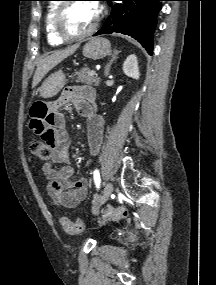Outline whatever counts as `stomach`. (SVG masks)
Segmentation results:
<instances>
[{
  "instance_id": "obj_1",
  "label": "stomach",
  "mask_w": 216,
  "mask_h": 285,
  "mask_svg": "<svg viewBox=\"0 0 216 285\" xmlns=\"http://www.w3.org/2000/svg\"><path fill=\"white\" fill-rule=\"evenodd\" d=\"M111 52V44L105 38L90 39L83 48V55L89 59L98 60L106 57ZM65 74L60 70L51 74L39 88L40 96L50 98L55 96L64 87Z\"/></svg>"
}]
</instances>
